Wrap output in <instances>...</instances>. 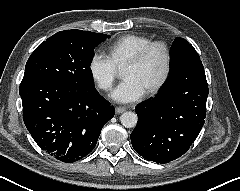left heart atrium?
I'll return each mask as SVG.
<instances>
[{
    "label": "left heart atrium",
    "instance_id": "left-heart-atrium-1",
    "mask_svg": "<svg viewBox=\"0 0 240 191\" xmlns=\"http://www.w3.org/2000/svg\"><path fill=\"white\" fill-rule=\"evenodd\" d=\"M144 87L135 78H125L112 92L111 97L120 103L139 100L145 94Z\"/></svg>",
    "mask_w": 240,
    "mask_h": 191
}]
</instances>
